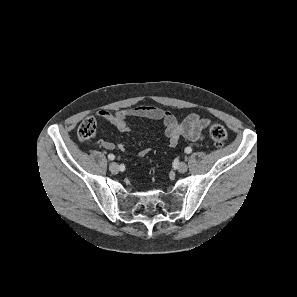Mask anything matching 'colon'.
Wrapping results in <instances>:
<instances>
[{
    "mask_svg": "<svg viewBox=\"0 0 297 297\" xmlns=\"http://www.w3.org/2000/svg\"><path fill=\"white\" fill-rule=\"evenodd\" d=\"M97 132V122L93 117L87 118L82 121L78 127V137L81 141H86L93 138ZM209 136L215 147L221 148L227 141L226 129L218 123H214L209 127ZM124 165L128 164L127 160L123 161Z\"/></svg>",
    "mask_w": 297,
    "mask_h": 297,
    "instance_id": "obj_1",
    "label": "colon"
}]
</instances>
